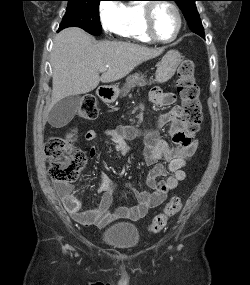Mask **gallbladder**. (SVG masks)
<instances>
[{
	"instance_id": "gallbladder-1",
	"label": "gallbladder",
	"mask_w": 250,
	"mask_h": 285,
	"mask_svg": "<svg viewBox=\"0 0 250 285\" xmlns=\"http://www.w3.org/2000/svg\"><path fill=\"white\" fill-rule=\"evenodd\" d=\"M82 103V97L72 95L58 101L48 114V122L51 126L59 128L67 125L75 116Z\"/></svg>"
}]
</instances>
